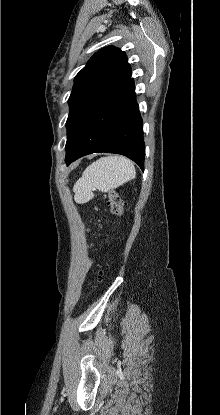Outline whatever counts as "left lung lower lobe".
Returning <instances> with one entry per match:
<instances>
[{"label":"left lung lower lobe","mask_w":220,"mask_h":415,"mask_svg":"<svg viewBox=\"0 0 220 415\" xmlns=\"http://www.w3.org/2000/svg\"><path fill=\"white\" fill-rule=\"evenodd\" d=\"M97 152L124 155L144 171L143 121L130 77L113 81L91 105L66 150L65 162L69 165Z\"/></svg>","instance_id":"1"}]
</instances>
